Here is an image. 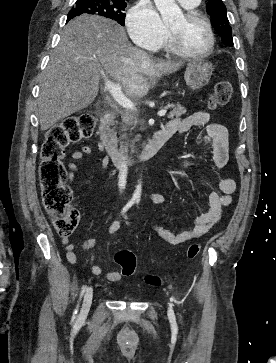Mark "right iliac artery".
<instances>
[{"label":"right iliac artery","instance_id":"82829eb1","mask_svg":"<svg viewBox=\"0 0 276 363\" xmlns=\"http://www.w3.org/2000/svg\"><path fill=\"white\" fill-rule=\"evenodd\" d=\"M133 203H134V201H133V200L129 201V202L126 204V206L123 208L122 213L126 212V211H127V210H128V209L132 206V205H133ZM87 288H88L87 284H85V285H83V286L81 287V292H80V296H79V301L81 300V298H82V296H83L84 292L87 290ZM78 307H79V303L77 304L76 309H75V310H74V312H73L72 321H74V320L76 319V314H77V312H78Z\"/></svg>","mask_w":276,"mask_h":363}]
</instances>
